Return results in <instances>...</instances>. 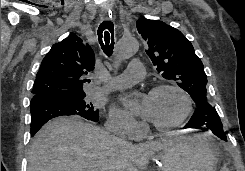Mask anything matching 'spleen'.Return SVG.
<instances>
[{"label": "spleen", "instance_id": "spleen-1", "mask_svg": "<svg viewBox=\"0 0 245 171\" xmlns=\"http://www.w3.org/2000/svg\"><path fill=\"white\" fill-rule=\"evenodd\" d=\"M220 171H229V169L226 166H223Z\"/></svg>", "mask_w": 245, "mask_h": 171}]
</instances>
